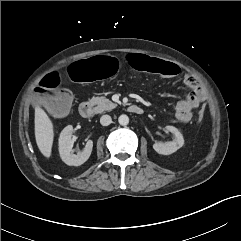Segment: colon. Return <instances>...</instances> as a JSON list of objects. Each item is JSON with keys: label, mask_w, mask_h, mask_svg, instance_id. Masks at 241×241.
<instances>
[{"label": "colon", "mask_w": 241, "mask_h": 241, "mask_svg": "<svg viewBox=\"0 0 241 241\" xmlns=\"http://www.w3.org/2000/svg\"><path fill=\"white\" fill-rule=\"evenodd\" d=\"M127 63L135 69L155 76H161L163 79H180L184 75V70L178 64L167 63L141 55H130L126 60L122 54L114 51L75 61L70 66L68 74L70 79L75 83H92L122 73ZM59 85L60 76L57 73H53L41 81L37 92L40 94L46 93L56 89ZM71 99L70 93L62 90L55 94L43 96L40 102L50 111L59 112L69 107ZM204 112V109H201L199 112V121L203 119Z\"/></svg>", "instance_id": "5ec220e1"}]
</instances>
